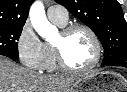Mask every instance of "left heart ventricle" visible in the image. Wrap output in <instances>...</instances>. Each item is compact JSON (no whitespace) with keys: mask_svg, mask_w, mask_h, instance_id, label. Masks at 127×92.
I'll use <instances>...</instances> for the list:
<instances>
[{"mask_svg":"<svg viewBox=\"0 0 127 92\" xmlns=\"http://www.w3.org/2000/svg\"><path fill=\"white\" fill-rule=\"evenodd\" d=\"M54 43H61L64 57L73 68H83L94 58V44L89 34L84 30H76L65 39L59 34Z\"/></svg>","mask_w":127,"mask_h":92,"instance_id":"1","label":"left heart ventricle"}]
</instances>
